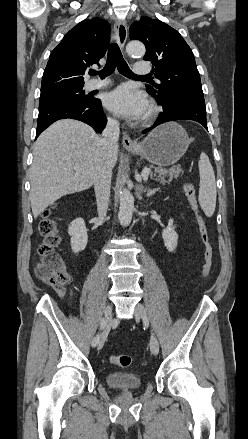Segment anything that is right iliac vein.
<instances>
[{
    "label": "right iliac vein",
    "instance_id": "obj_1",
    "mask_svg": "<svg viewBox=\"0 0 248 439\" xmlns=\"http://www.w3.org/2000/svg\"><path fill=\"white\" fill-rule=\"evenodd\" d=\"M111 318H112V306L108 305L105 309V315H104V323H105V328H100L101 330H106L109 329L110 324H111ZM101 334V333H100ZM105 337L101 334L99 336V339L97 341V347L98 349H101L104 342H105ZM96 346V345H95Z\"/></svg>",
    "mask_w": 248,
    "mask_h": 439
}]
</instances>
